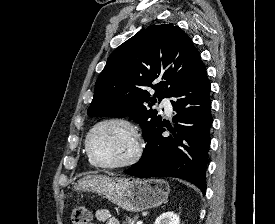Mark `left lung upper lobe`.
Returning a JSON list of instances; mask_svg holds the SVG:
<instances>
[{
    "label": "left lung upper lobe",
    "instance_id": "obj_1",
    "mask_svg": "<svg viewBox=\"0 0 275 224\" xmlns=\"http://www.w3.org/2000/svg\"><path fill=\"white\" fill-rule=\"evenodd\" d=\"M190 37L175 24L151 25L109 56L99 75L87 114L126 117L140 124L148 137L162 122L147 107L172 94L203 67ZM155 90L151 97L146 90Z\"/></svg>",
    "mask_w": 275,
    "mask_h": 224
}]
</instances>
